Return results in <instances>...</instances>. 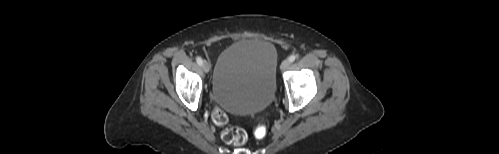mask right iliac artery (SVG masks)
Segmentation results:
<instances>
[{
	"mask_svg": "<svg viewBox=\"0 0 499 154\" xmlns=\"http://www.w3.org/2000/svg\"><path fill=\"white\" fill-rule=\"evenodd\" d=\"M196 61H197V63H198L200 66L203 64V61H202L201 57H197V58H196Z\"/></svg>",
	"mask_w": 499,
	"mask_h": 154,
	"instance_id": "82829eb1",
	"label": "right iliac artery"
}]
</instances>
